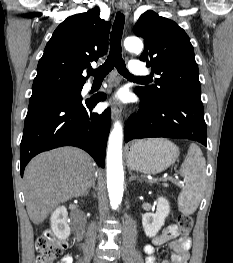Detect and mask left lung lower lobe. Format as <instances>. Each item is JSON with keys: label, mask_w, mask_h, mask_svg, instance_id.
<instances>
[{"label": "left lung lower lobe", "mask_w": 233, "mask_h": 263, "mask_svg": "<svg viewBox=\"0 0 233 263\" xmlns=\"http://www.w3.org/2000/svg\"><path fill=\"white\" fill-rule=\"evenodd\" d=\"M142 108L132 114L125 127V141L151 137L190 139L207 146L206 123L200 96L177 94L158 104L140 91Z\"/></svg>", "instance_id": "left-lung-lower-lobe-1"}]
</instances>
